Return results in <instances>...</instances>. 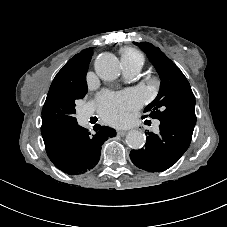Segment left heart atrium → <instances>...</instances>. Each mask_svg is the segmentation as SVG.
Returning a JSON list of instances; mask_svg holds the SVG:
<instances>
[{
	"mask_svg": "<svg viewBox=\"0 0 227 227\" xmlns=\"http://www.w3.org/2000/svg\"><path fill=\"white\" fill-rule=\"evenodd\" d=\"M141 102V96L133 91L106 95L99 104V112L105 121L120 124L126 120L128 111Z\"/></svg>",
	"mask_w": 227,
	"mask_h": 227,
	"instance_id": "left-heart-atrium-1",
	"label": "left heart atrium"
}]
</instances>
